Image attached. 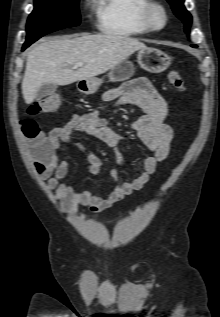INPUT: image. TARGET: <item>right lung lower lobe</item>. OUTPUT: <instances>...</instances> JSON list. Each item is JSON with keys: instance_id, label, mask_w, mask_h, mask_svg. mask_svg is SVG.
<instances>
[{"instance_id": "obj_1", "label": "right lung lower lobe", "mask_w": 220, "mask_h": 317, "mask_svg": "<svg viewBox=\"0 0 220 317\" xmlns=\"http://www.w3.org/2000/svg\"><path fill=\"white\" fill-rule=\"evenodd\" d=\"M33 42H25L22 48V51L25 50L29 45H31Z\"/></svg>"}]
</instances>
